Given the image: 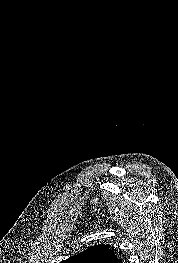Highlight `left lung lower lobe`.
<instances>
[{"label":"left lung lower lobe","instance_id":"1","mask_svg":"<svg viewBox=\"0 0 178 263\" xmlns=\"http://www.w3.org/2000/svg\"><path fill=\"white\" fill-rule=\"evenodd\" d=\"M111 263H123L121 259L115 258L114 260L111 261Z\"/></svg>","mask_w":178,"mask_h":263}]
</instances>
